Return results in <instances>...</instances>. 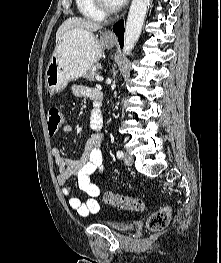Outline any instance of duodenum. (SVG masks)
Here are the masks:
<instances>
[{
	"label": "duodenum",
	"instance_id": "410a0bca",
	"mask_svg": "<svg viewBox=\"0 0 221 263\" xmlns=\"http://www.w3.org/2000/svg\"><path fill=\"white\" fill-rule=\"evenodd\" d=\"M95 100V109L92 116V120L94 121L95 125L100 126L102 125V115H101V109H102V97L101 94H97L94 97Z\"/></svg>",
	"mask_w": 221,
	"mask_h": 263
}]
</instances>
